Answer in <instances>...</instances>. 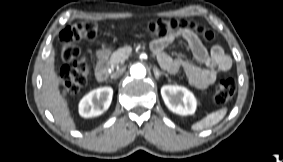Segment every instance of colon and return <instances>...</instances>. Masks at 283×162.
Here are the masks:
<instances>
[{"instance_id":"1","label":"colon","mask_w":283,"mask_h":162,"mask_svg":"<svg viewBox=\"0 0 283 162\" xmlns=\"http://www.w3.org/2000/svg\"><path fill=\"white\" fill-rule=\"evenodd\" d=\"M146 29L151 35L159 38L191 31L202 37L206 42L214 41L212 31L198 23L185 19L154 20L148 23ZM98 31L99 24L92 20L74 23L61 31L59 39L63 66L59 72V79L63 94H76L86 85L90 67L86 59L81 55L77 43L83 39H94ZM234 93V80L231 77L222 78L215 87L214 102L223 105L232 99Z\"/></svg>"}]
</instances>
